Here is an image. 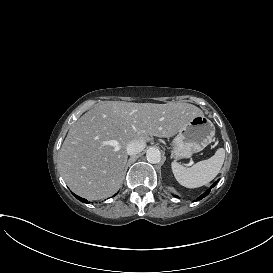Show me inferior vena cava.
Instances as JSON below:
<instances>
[{
    "label": "inferior vena cava",
    "mask_w": 273,
    "mask_h": 273,
    "mask_svg": "<svg viewBox=\"0 0 273 273\" xmlns=\"http://www.w3.org/2000/svg\"><path fill=\"white\" fill-rule=\"evenodd\" d=\"M145 146H146L145 142L141 140H132L127 145V154L128 155L138 154L145 148Z\"/></svg>",
    "instance_id": "inferior-vena-cava-1"
}]
</instances>
